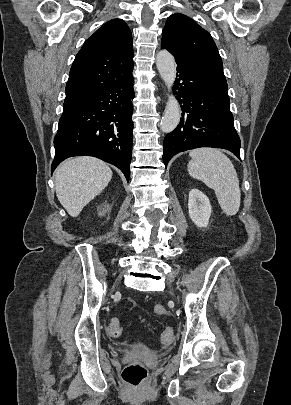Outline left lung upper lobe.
Wrapping results in <instances>:
<instances>
[{
    "mask_svg": "<svg viewBox=\"0 0 291 405\" xmlns=\"http://www.w3.org/2000/svg\"><path fill=\"white\" fill-rule=\"evenodd\" d=\"M161 47L167 49L175 59L223 68L211 35L183 14L175 13L167 19Z\"/></svg>",
    "mask_w": 291,
    "mask_h": 405,
    "instance_id": "left-lung-upper-lobe-1",
    "label": "left lung upper lobe"
}]
</instances>
